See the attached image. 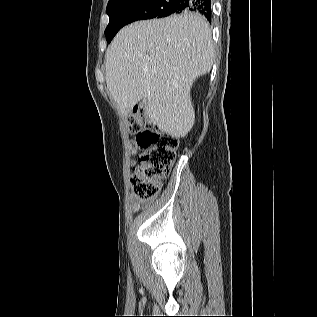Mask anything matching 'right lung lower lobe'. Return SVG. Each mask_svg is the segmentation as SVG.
I'll return each mask as SVG.
<instances>
[{"label":"right lung lower lobe","mask_w":317,"mask_h":317,"mask_svg":"<svg viewBox=\"0 0 317 317\" xmlns=\"http://www.w3.org/2000/svg\"><path fill=\"white\" fill-rule=\"evenodd\" d=\"M176 13L194 12L204 15L211 22V0H175Z\"/></svg>","instance_id":"right-lung-lower-lobe-1"}]
</instances>
